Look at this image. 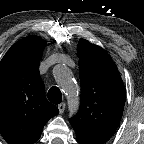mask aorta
Returning a JSON list of instances; mask_svg holds the SVG:
<instances>
[{
	"label": "aorta",
	"mask_w": 144,
	"mask_h": 144,
	"mask_svg": "<svg viewBox=\"0 0 144 144\" xmlns=\"http://www.w3.org/2000/svg\"><path fill=\"white\" fill-rule=\"evenodd\" d=\"M55 79L62 85L70 103L76 98V86L72 81L71 73L66 65L58 64L53 68ZM76 105L70 110L74 112Z\"/></svg>",
	"instance_id": "1"
}]
</instances>
